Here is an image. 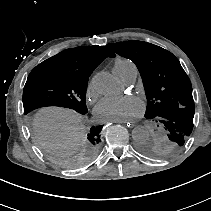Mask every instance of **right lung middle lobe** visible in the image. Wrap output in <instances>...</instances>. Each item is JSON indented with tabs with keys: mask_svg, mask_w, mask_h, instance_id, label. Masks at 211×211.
<instances>
[{
	"mask_svg": "<svg viewBox=\"0 0 211 211\" xmlns=\"http://www.w3.org/2000/svg\"><path fill=\"white\" fill-rule=\"evenodd\" d=\"M90 74L71 69L38 65L29 74L24 91V114L32 117L38 108L60 106L74 109L80 114L87 113L86 89ZM103 125L92 126L87 138L89 148L82 159H67L50 154L51 159L64 167H75L91 162L99 151L100 132Z\"/></svg>",
	"mask_w": 211,
	"mask_h": 211,
	"instance_id": "right-lung-middle-lobe-1",
	"label": "right lung middle lobe"
}]
</instances>
